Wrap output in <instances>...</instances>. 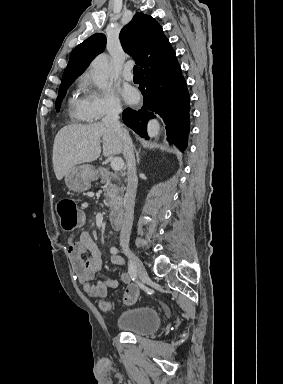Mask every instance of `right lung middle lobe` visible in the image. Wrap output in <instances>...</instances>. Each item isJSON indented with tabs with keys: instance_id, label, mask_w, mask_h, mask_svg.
Instances as JSON below:
<instances>
[{
	"instance_id": "right-lung-middle-lobe-1",
	"label": "right lung middle lobe",
	"mask_w": 283,
	"mask_h": 384,
	"mask_svg": "<svg viewBox=\"0 0 283 384\" xmlns=\"http://www.w3.org/2000/svg\"><path fill=\"white\" fill-rule=\"evenodd\" d=\"M72 83L73 82H69V83H63L60 85L58 97L56 99V110L57 111H59L61 102H62L63 98L65 97L66 91Z\"/></svg>"
}]
</instances>
